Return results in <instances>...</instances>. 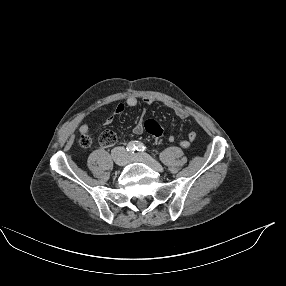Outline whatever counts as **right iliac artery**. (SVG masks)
Here are the masks:
<instances>
[{"instance_id":"obj_1","label":"right iliac artery","mask_w":286,"mask_h":286,"mask_svg":"<svg viewBox=\"0 0 286 286\" xmlns=\"http://www.w3.org/2000/svg\"><path fill=\"white\" fill-rule=\"evenodd\" d=\"M127 151L130 152V153H134L135 151V144L134 142H130L128 145H127Z\"/></svg>"}]
</instances>
